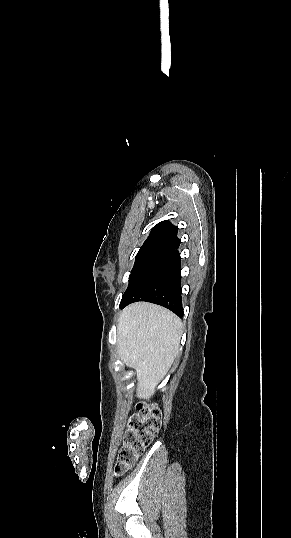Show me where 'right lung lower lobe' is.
<instances>
[{"label":"right lung lower lobe","instance_id":"1","mask_svg":"<svg viewBox=\"0 0 291 538\" xmlns=\"http://www.w3.org/2000/svg\"><path fill=\"white\" fill-rule=\"evenodd\" d=\"M180 267V253L174 250L143 279L130 296L129 301L121 308L133 302L147 301L164 306L178 316H182Z\"/></svg>","mask_w":291,"mask_h":538}]
</instances>
